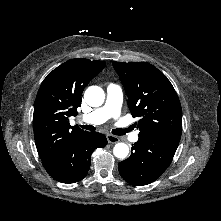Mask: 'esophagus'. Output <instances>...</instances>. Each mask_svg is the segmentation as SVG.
Listing matches in <instances>:
<instances>
[{
  "label": "esophagus",
  "mask_w": 221,
  "mask_h": 221,
  "mask_svg": "<svg viewBox=\"0 0 221 221\" xmlns=\"http://www.w3.org/2000/svg\"><path fill=\"white\" fill-rule=\"evenodd\" d=\"M107 141H108L109 143H117V142H119V137L114 136V135H112V134H108V135H107Z\"/></svg>",
  "instance_id": "1"
}]
</instances>
